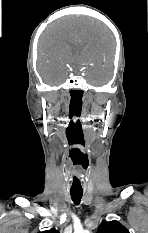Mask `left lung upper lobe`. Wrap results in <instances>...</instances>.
<instances>
[{"instance_id": "obj_1", "label": "left lung upper lobe", "mask_w": 148, "mask_h": 233, "mask_svg": "<svg viewBox=\"0 0 148 233\" xmlns=\"http://www.w3.org/2000/svg\"><path fill=\"white\" fill-rule=\"evenodd\" d=\"M97 233H129L118 221L102 222L98 227Z\"/></svg>"}]
</instances>
